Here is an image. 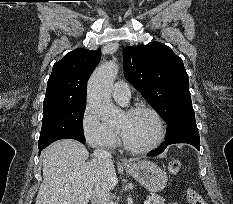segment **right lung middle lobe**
<instances>
[{
	"label": "right lung middle lobe",
	"mask_w": 233,
	"mask_h": 204,
	"mask_svg": "<svg viewBox=\"0 0 233 204\" xmlns=\"http://www.w3.org/2000/svg\"><path fill=\"white\" fill-rule=\"evenodd\" d=\"M39 148L59 139L85 141L83 135V113L86 101H58L44 103Z\"/></svg>",
	"instance_id": "obj_1"
}]
</instances>
